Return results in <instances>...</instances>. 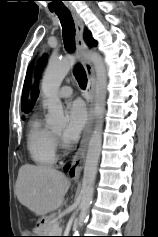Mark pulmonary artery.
I'll use <instances>...</instances> for the list:
<instances>
[{"mask_svg":"<svg viewBox=\"0 0 158 237\" xmlns=\"http://www.w3.org/2000/svg\"><path fill=\"white\" fill-rule=\"evenodd\" d=\"M72 94H73V89L70 86H62L58 91V95L61 98H69L72 96Z\"/></svg>","mask_w":158,"mask_h":237,"instance_id":"pulmonary-artery-1","label":"pulmonary artery"}]
</instances>
